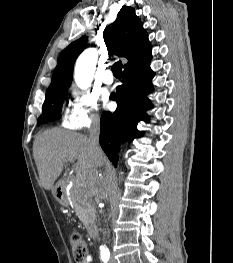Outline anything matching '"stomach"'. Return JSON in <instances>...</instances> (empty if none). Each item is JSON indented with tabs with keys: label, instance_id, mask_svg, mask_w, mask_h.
<instances>
[{
	"label": "stomach",
	"instance_id": "1",
	"mask_svg": "<svg viewBox=\"0 0 233 263\" xmlns=\"http://www.w3.org/2000/svg\"><path fill=\"white\" fill-rule=\"evenodd\" d=\"M53 195L55 198L61 203V204H66L67 199L65 196V190H64V185L59 182L53 189Z\"/></svg>",
	"mask_w": 233,
	"mask_h": 263
}]
</instances>
